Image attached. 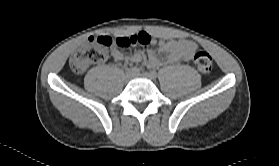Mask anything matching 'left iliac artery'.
<instances>
[{
  "mask_svg": "<svg viewBox=\"0 0 279 166\" xmlns=\"http://www.w3.org/2000/svg\"><path fill=\"white\" fill-rule=\"evenodd\" d=\"M150 74L153 75L155 78H156V76H157V72H156L155 70H152V71L150 72Z\"/></svg>",
  "mask_w": 279,
  "mask_h": 166,
  "instance_id": "obj_1",
  "label": "left iliac artery"
}]
</instances>
